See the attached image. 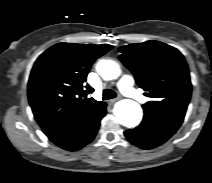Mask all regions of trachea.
Instances as JSON below:
<instances>
[{"mask_svg": "<svg viewBox=\"0 0 212 183\" xmlns=\"http://www.w3.org/2000/svg\"><path fill=\"white\" fill-rule=\"evenodd\" d=\"M102 95L103 100L113 99L117 96L116 92L111 89H105Z\"/></svg>", "mask_w": 212, "mask_h": 183, "instance_id": "trachea-1", "label": "trachea"}]
</instances>
